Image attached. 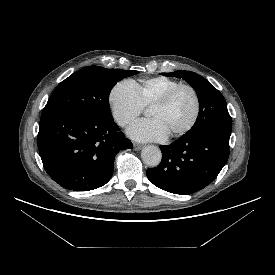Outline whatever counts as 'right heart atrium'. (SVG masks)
Masks as SVG:
<instances>
[{
  "label": "right heart atrium",
  "mask_w": 275,
  "mask_h": 275,
  "mask_svg": "<svg viewBox=\"0 0 275 275\" xmlns=\"http://www.w3.org/2000/svg\"><path fill=\"white\" fill-rule=\"evenodd\" d=\"M108 102L114 120L121 127L128 126L144 111L136 84L129 79L121 80L112 87Z\"/></svg>",
  "instance_id": "right-heart-atrium-1"
}]
</instances>
